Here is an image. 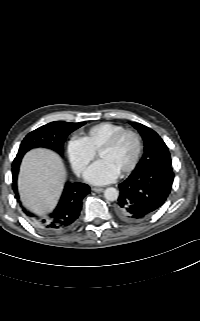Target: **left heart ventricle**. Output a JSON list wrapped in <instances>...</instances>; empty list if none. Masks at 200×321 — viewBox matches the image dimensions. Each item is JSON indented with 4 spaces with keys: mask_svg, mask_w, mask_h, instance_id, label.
Here are the masks:
<instances>
[{
    "mask_svg": "<svg viewBox=\"0 0 200 321\" xmlns=\"http://www.w3.org/2000/svg\"><path fill=\"white\" fill-rule=\"evenodd\" d=\"M136 152V141L132 135H125L111 149L99 153V158L108 161L121 173L133 160Z\"/></svg>",
    "mask_w": 200,
    "mask_h": 321,
    "instance_id": "1",
    "label": "left heart ventricle"
}]
</instances>
